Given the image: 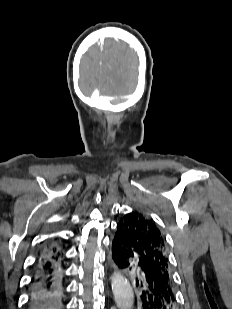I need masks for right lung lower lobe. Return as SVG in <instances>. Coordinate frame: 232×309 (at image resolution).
<instances>
[{"instance_id": "obj_1", "label": "right lung lower lobe", "mask_w": 232, "mask_h": 309, "mask_svg": "<svg viewBox=\"0 0 232 309\" xmlns=\"http://www.w3.org/2000/svg\"><path fill=\"white\" fill-rule=\"evenodd\" d=\"M62 258L40 255L31 281L30 309H63Z\"/></svg>"}]
</instances>
